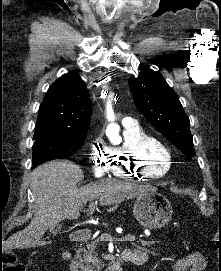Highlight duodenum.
<instances>
[{"instance_id":"1","label":"duodenum","mask_w":221,"mask_h":271,"mask_svg":"<svg viewBox=\"0 0 221 271\" xmlns=\"http://www.w3.org/2000/svg\"><path fill=\"white\" fill-rule=\"evenodd\" d=\"M90 238V233L87 230H77L72 236L71 240L75 244H83ZM63 258L68 262L71 271H88V269L75 258L71 249H66L63 252ZM147 257L145 255H135L129 250H124L117 260L108 265L104 271H122L121 262H131L135 265H142L145 263Z\"/></svg>"}]
</instances>
